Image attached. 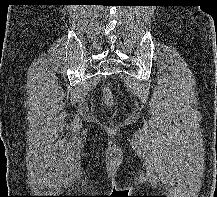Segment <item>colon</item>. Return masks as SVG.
I'll return each instance as SVG.
<instances>
[{
	"label": "colon",
	"mask_w": 217,
	"mask_h": 197,
	"mask_svg": "<svg viewBox=\"0 0 217 197\" xmlns=\"http://www.w3.org/2000/svg\"><path fill=\"white\" fill-rule=\"evenodd\" d=\"M103 100L107 106H113L114 105V98L112 95V92L110 88H105L103 91Z\"/></svg>",
	"instance_id": "5ec220e1"
}]
</instances>
